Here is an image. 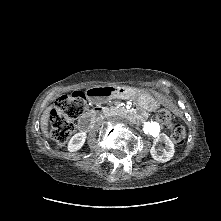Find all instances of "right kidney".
Returning <instances> with one entry per match:
<instances>
[{
	"label": "right kidney",
	"mask_w": 221,
	"mask_h": 221,
	"mask_svg": "<svg viewBox=\"0 0 221 221\" xmlns=\"http://www.w3.org/2000/svg\"><path fill=\"white\" fill-rule=\"evenodd\" d=\"M86 137L87 135L85 132L75 134L68 143V150L70 152H75L81 149L85 143Z\"/></svg>",
	"instance_id": "1"
}]
</instances>
